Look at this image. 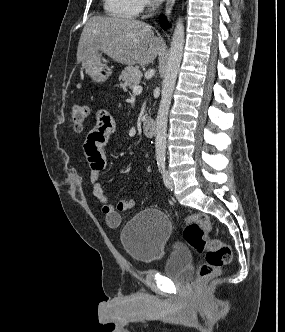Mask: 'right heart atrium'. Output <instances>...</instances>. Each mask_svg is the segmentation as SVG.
<instances>
[{
  "instance_id": "1",
  "label": "right heart atrium",
  "mask_w": 285,
  "mask_h": 332,
  "mask_svg": "<svg viewBox=\"0 0 285 332\" xmlns=\"http://www.w3.org/2000/svg\"><path fill=\"white\" fill-rule=\"evenodd\" d=\"M140 10L150 9L153 6L152 0H138Z\"/></svg>"
}]
</instances>
